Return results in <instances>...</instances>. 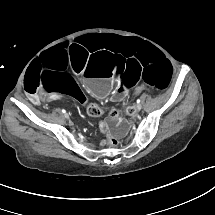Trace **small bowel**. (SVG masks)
I'll list each match as a JSON object with an SVG mask.
<instances>
[{
  "label": "small bowel",
  "mask_w": 215,
  "mask_h": 215,
  "mask_svg": "<svg viewBox=\"0 0 215 215\" xmlns=\"http://www.w3.org/2000/svg\"><path fill=\"white\" fill-rule=\"evenodd\" d=\"M32 101H33L34 103H37V102H38V97H37V96H34V97L32 98ZM135 112H136L135 108L132 107L131 114H134Z\"/></svg>",
  "instance_id": "1"
}]
</instances>
